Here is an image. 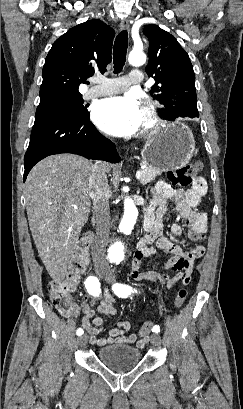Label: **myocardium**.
I'll return each mask as SVG.
<instances>
[{
	"label": "myocardium",
	"instance_id": "f54148a6",
	"mask_svg": "<svg viewBox=\"0 0 243 409\" xmlns=\"http://www.w3.org/2000/svg\"><path fill=\"white\" fill-rule=\"evenodd\" d=\"M144 110L147 114L148 122L143 126L144 134H154L162 129L164 121L162 120L157 104L151 99H145Z\"/></svg>",
	"mask_w": 243,
	"mask_h": 409
}]
</instances>
